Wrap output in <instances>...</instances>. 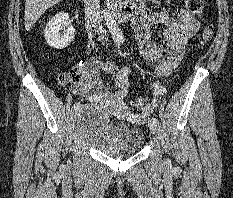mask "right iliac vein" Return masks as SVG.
<instances>
[{"instance_id":"right-iliac-vein-1","label":"right iliac vein","mask_w":233,"mask_h":198,"mask_svg":"<svg viewBox=\"0 0 233 198\" xmlns=\"http://www.w3.org/2000/svg\"><path fill=\"white\" fill-rule=\"evenodd\" d=\"M80 112V110L78 112H76V114H78Z\"/></svg>"}]
</instances>
